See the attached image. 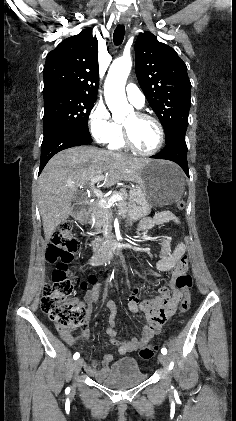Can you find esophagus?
Instances as JSON below:
<instances>
[{
    "instance_id": "obj_1",
    "label": "esophagus",
    "mask_w": 236,
    "mask_h": 421,
    "mask_svg": "<svg viewBox=\"0 0 236 421\" xmlns=\"http://www.w3.org/2000/svg\"><path fill=\"white\" fill-rule=\"evenodd\" d=\"M119 22L120 24H126L128 22V18L126 16H121Z\"/></svg>"
}]
</instances>
